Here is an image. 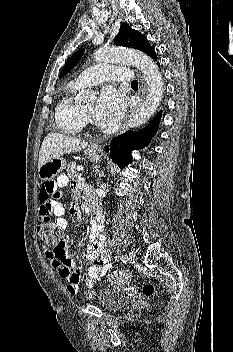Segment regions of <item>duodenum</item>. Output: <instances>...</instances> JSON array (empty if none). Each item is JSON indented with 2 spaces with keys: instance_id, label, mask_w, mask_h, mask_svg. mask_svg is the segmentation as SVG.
<instances>
[{
  "instance_id": "410a0bca",
  "label": "duodenum",
  "mask_w": 233,
  "mask_h": 352,
  "mask_svg": "<svg viewBox=\"0 0 233 352\" xmlns=\"http://www.w3.org/2000/svg\"><path fill=\"white\" fill-rule=\"evenodd\" d=\"M90 214L92 218H96L100 214L99 205L93 198L90 200Z\"/></svg>"
}]
</instances>
